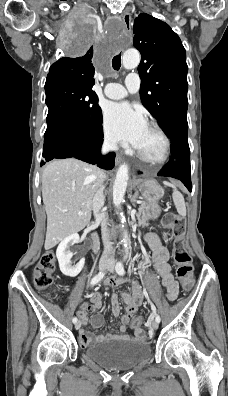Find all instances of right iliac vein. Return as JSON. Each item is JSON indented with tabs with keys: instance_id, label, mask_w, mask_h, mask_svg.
<instances>
[{
	"instance_id": "1",
	"label": "right iliac vein",
	"mask_w": 228,
	"mask_h": 396,
	"mask_svg": "<svg viewBox=\"0 0 228 396\" xmlns=\"http://www.w3.org/2000/svg\"><path fill=\"white\" fill-rule=\"evenodd\" d=\"M108 267V262L106 261H101L99 263V270L104 271ZM81 327V322L78 321L75 323V329L78 330Z\"/></svg>"
}]
</instances>
